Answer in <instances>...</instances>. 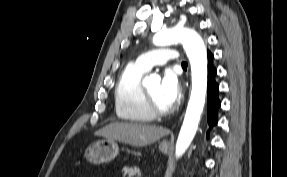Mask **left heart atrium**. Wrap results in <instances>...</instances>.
Returning a JSON list of instances; mask_svg holds the SVG:
<instances>
[{
	"mask_svg": "<svg viewBox=\"0 0 287 177\" xmlns=\"http://www.w3.org/2000/svg\"><path fill=\"white\" fill-rule=\"evenodd\" d=\"M181 93L180 83L173 70H167L161 81V94L163 98L173 105Z\"/></svg>",
	"mask_w": 287,
	"mask_h": 177,
	"instance_id": "left-heart-atrium-1",
	"label": "left heart atrium"
}]
</instances>
